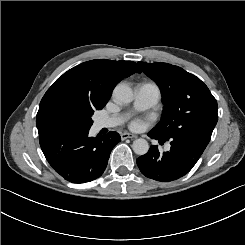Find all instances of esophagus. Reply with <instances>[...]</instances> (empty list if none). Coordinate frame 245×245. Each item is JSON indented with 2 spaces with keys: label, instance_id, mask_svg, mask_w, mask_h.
Segmentation results:
<instances>
[{
  "label": "esophagus",
  "instance_id": "esophagus-1",
  "mask_svg": "<svg viewBox=\"0 0 245 245\" xmlns=\"http://www.w3.org/2000/svg\"><path fill=\"white\" fill-rule=\"evenodd\" d=\"M127 138H136V136L134 134H131V133H122L121 134V139L122 140H125Z\"/></svg>",
  "mask_w": 245,
  "mask_h": 245
}]
</instances>
